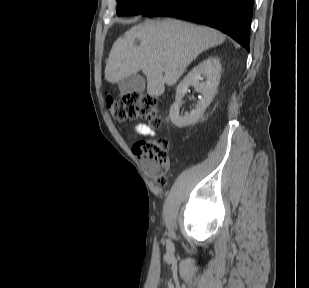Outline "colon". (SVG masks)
Instances as JSON below:
<instances>
[{
  "mask_svg": "<svg viewBox=\"0 0 309 288\" xmlns=\"http://www.w3.org/2000/svg\"><path fill=\"white\" fill-rule=\"evenodd\" d=\"M107 105L111 115L119 121L142 119L152 127L161 125L158 102L150 96L141 93H127L122 98L114 100L107 97ZM134 150L143 161L146 174L158 185L167 184V172L170 168V145L166 138L140 140L134 144Z\"/></svg>",
  "mask_w": 309,
  "mask_h": 288,
  "instance_id": "obj_1",
  "label": "colon"
}]
</instances>
